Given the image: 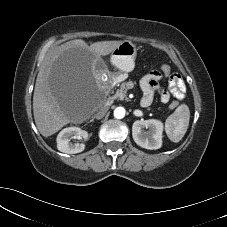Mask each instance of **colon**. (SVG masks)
Listing matches in <instances>:
<instances>
[{
	"mask_svg": "<svg viewBox=\"0 0 227 227\" xmlns=\"http://www.w3.org/2000/svg\"><path fill=\"white\" fill-rule=\"evenodd\" d=\"M161 71H162L165 75H170V74H171V68H170V66H168V65H162V66H161ZM177 105H178L177 102H172V103L170 104V107H171V108H175Z\"/></svg>",
	"mask_w": 227,
	"mask_h": 227,
	"instance_id": "1",
	"label": "colon"
}]
</instances>
